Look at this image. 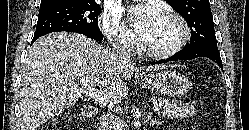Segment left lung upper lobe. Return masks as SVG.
Instances as JSON below:
<instances>
[{
    "instance_id": "left-lung-upper-lobe-1",
    "label": "left lung upper lobe",
    "mask_w": 249,
    "mask_h": 130,
    "mask_svg": "<svg viewBox=\"0 0 249 130\" xmlns=\"http://www.w3.org/2000/svg\"><path fill=\"white\" fill-rule=\"evenodd\" d=\"M188 23L191 40L185 50L219 52L209 0H166Z\"/></svg>"
}]
</instances>
